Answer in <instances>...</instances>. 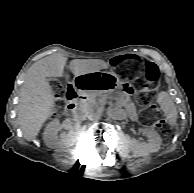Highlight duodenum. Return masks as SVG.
<instances>
[{
	"label": "duodenum",
	"mask_w": 194,
	"mask_h": 193,
	"mask_svg": "<svg viewBox=\"0 0 194 193\" xmlns=\"http://www.w3.org/2000/svg\"><path fill=\"white\" fill-rule=\"evenodd\" d=\"M67 113L70 116H79L83 114L86 107V96L70 89L68 94Z\"/></svg>",
	"instance_id": "obj_1"
}]
</instances>
